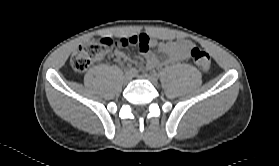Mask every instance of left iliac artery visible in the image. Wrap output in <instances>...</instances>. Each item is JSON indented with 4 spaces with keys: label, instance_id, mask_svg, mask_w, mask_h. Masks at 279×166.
<instances>
[{
    "label": "left iliac artery",
    "instance_id": "obj_1",
    "mask_svg": "<svg viewBox=\"0 0 279 166\" xmlns=\"http://www.w3.org/2000/svg\"><path fill=\"white\" fill-rule=\"evenodd\" d=\"M152 75L156 76L157 78L159 77V75L156 72H153Z\"/></svg>",
    "mask_w": 279,
    "mask_h": 166
}]
</instances>
